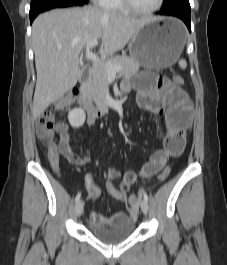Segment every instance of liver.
<instances>
[{"mask_svg":"<svg viewBox=\"0 0 227 265\" xmlns=\"http://www.w3.org/2000/svg\"><path fill=\"white\" fill-rule=\"evenodd\" d=\"M146 23L147 19L91 6L55 9L39 15L32 24L37 71L33 117L40 116L76 85L81 76L79 54L89 41L101 38L100 53L112 55Z\"/></svg>","mask_w":227,"mask_h":265,"instance_id":"obj_1","label":"liver"}]
</instances>
